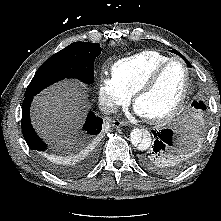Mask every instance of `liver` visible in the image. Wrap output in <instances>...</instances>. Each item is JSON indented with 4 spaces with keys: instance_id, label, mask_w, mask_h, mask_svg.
I'll return each instance as SVG.
<instances>
[{
    "instance_id": "liver-1",
    "label": "liver",
    "mask_w": 221,
    "mask_h": 221,
    "mask_svg": "<svg viewBox=\"0 0 221 221\" xmlns=\"http://www.w3.org/2000/svg\"><path fill=\"white\" fill-rule=\"evenodd\" d=\"M87 95L77 81H63L34 98L31 121L37 133L56 149L70 148L83 121Z\"/></svg>"
}]
</instances>
